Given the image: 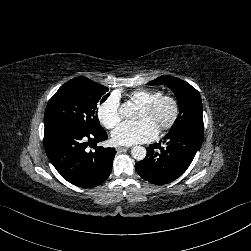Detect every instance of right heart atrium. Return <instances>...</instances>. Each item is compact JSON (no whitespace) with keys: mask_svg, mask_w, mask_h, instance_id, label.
Returning a JSON list of instances; mask_svg holds the SVG:
<instances>
[{"mask_svg":"<svg viewBox=\"0 0 251 251\" xmlns=\"http://www.w3.org/2000/svg\"><path fill=\"white\" fill-rule=\"evenodd\" d=\"M96 113L106 128L113 129L121 120L119 96L115 93L108 95L97 105Z\"/></svg>","mask_w":251,"mask_h":251,"instance_id":"d8ad5b80","label":"right heart atrium"}]
</instances>
